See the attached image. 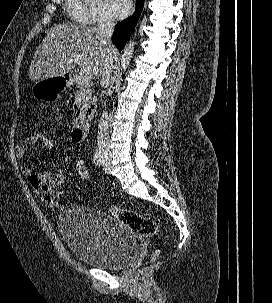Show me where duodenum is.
<instances>
[{"label":"duodenum","instance_id":"410a0bca","mask_svg":"<svg viewBox=\"0 0 272 303\" xmlns=\"http://www.w3.org/2000/svg\"><path fill=\"white\" fill-rule=\"evenodd\" d=\"M69 83L74 82V76L68 75L66 77ZM73 109L75 113V125H74V135L78 142H81L85 139L88 131V123L93 118L95 110H96V103L92 102L89 107L84 110L78 101H75L73 104Z\"/></svg>","mask_w":272,"mask_h":303}]
</instances>
